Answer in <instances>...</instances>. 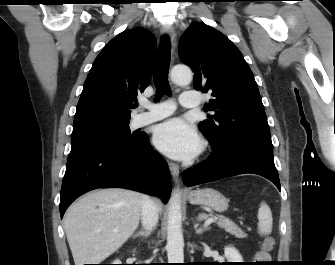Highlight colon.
<instances>
[{"label": "colon", "instance_id": "obj_1", "mask_svg": "<svg viewBox=\"0 0 335 265\" xmlns=\"http://www.w3.org/2000/svg\"><path fill=\"white\" fill-rule=\"evenodd\" d=\"M273 247V241L270 238L265 239L262 244L259 252L256 255L257 260L259 263H267L270 259V251Z\"/></svg>", "mask_w": 335, "mask_h": 265}]
</instances>
